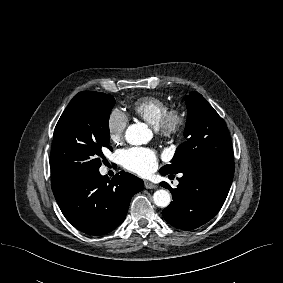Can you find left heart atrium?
I'll return each instance as SVG.
<instances>
[{
  "instance_id": "1",
  "label": "left heart atrium",
  "mask_w": 283,
  "mask_h": 283,
  "mask_svg": "<svg viewBox=\"0 0 283 283\" xmlns=\"http://www.w3.org/2000/svg\"><path fill=\"white\" fill-rule=\"evenodd\" d=\"M122 166L138 175H150L158 165L156 151L144 147H131L120 154Z\"/></svg>"
}]
</instances>
